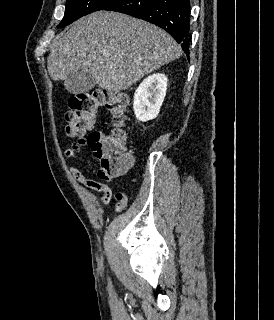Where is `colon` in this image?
<instances>
[{
	"instance_id": "5ec220e1",
	"label": "colon",
	"mask_w": 274,
	"mask_h": 320,
	"mask_svg": "<svg viewBox=\"0 0 274 320\" xmlns=\"http://www.w3.org/2000/svg\"><path fill=\"white\" fill-rule=\"evenodd\" d=\"M126 104L125 96H112L102 89L79 92L67 101L66 134H86V138H91L93 150L101 157V170L112 177L124 174L133 164V156L124 152L127 137L121 127L126 119ZM100 109L109 113L114 124L112 131L103 133L90 130V120H96ZM115 196L126 194L124 190H119Z\"/></svg>"
}]
</instances>
